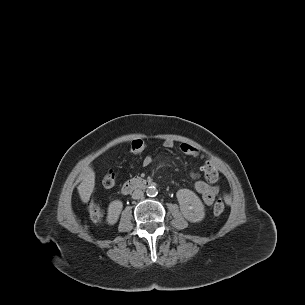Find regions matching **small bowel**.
<instances>
[{"label": "small bowel", "mask_w": 305, "mask_h": 305, "mask_svg": "<svg viewBox=\"0 0 305 305\" xmlns=\"http://www.w3.org/2000/svg\"><path fill=\"white\" fill-rule=\"evenodd\" d=\"M175 143L172 139H166L163 142V146L167 149H172ZM180 151L189 157H202L204 159L203 165V172H204V179L197 180L195 182L194 188L198 194L201 195L203 202L206 205H212L218 192L219 187L216 185V182L219 177V171L216 166L214 160L207 154L202 153L197 147L188 144L182 143L179 147ZM153 159L151 156H146L143 159V164L148 166L152 163ZM193 178H199L200 175L196 172L192 173Z\"/></svg>", "instance_id": "obj_1"}]
</instances>
